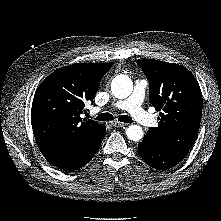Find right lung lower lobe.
<instances>
[{"instance_id":"1","label":"right lung lower lobe","mask_w":221,"mask_h":221,"mask_svg":"<svg viewBox=\"0 0 221 221\" xmlns=\"http://www.w3.org/2000/svg\"><path fill=\"white\" fill-rule=\"evenodd\" d=\"M105 134L106 128L98 138L77 149L56 150L51 148H40V150L44 157L54 166L63 170L74 171L87 164L98 152Z\"/></svg>"}]
</instances>
